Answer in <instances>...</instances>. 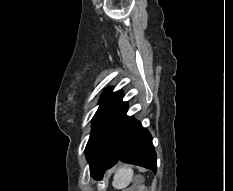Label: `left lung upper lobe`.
<instances>
[{"instance_id": "left-lung-upper-lobe-1", "label": "left lung upper lobe", "mask_w": 233, "mask_h": 191, "mask_svg": "<svg viewBox=\"0 0 233 191\" xmlns=\"http://www.w3.org/2000/svg\"><path fill=\"white\" fill-rule=\"evenodd\" d=\"M122 98V91L112 93L111 88L102 94L100 106L92 120V132L85 151L87 157L103 130L126 105V102H122Z\"/></svg>"}]
</instances>
